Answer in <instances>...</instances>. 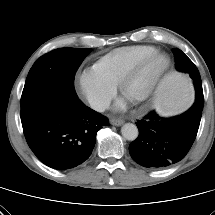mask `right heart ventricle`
I'll return each instance as SVG.
<instances>
[{"mask_svg":"<svg viewBox=\"0 0 215 215\" xmlns=\"http://www.w3.org/2000/svg\"><path fill=\"white\" fill-rule=\"evenodd\" d=\"M154 51L156 49L149 45L116 48L99 58L94 64V68L117 85L139 59Z\"/></svg>","mask_w":215,"mask_h":215,"instance_id":"obj_1","label":"right heart ventricle"}]
</instances>
